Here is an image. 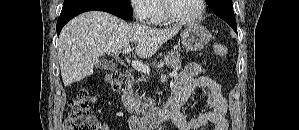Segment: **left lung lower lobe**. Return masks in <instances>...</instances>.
I'll return each instance as SVG.
<instances>
[{"mask_svg": "<svg viewBox=\"0 0 299 130\" xmlns=\"http://www.w3.org/2000/svg\"><path fill=\"white\" fill-rule=\"evenodd\" d=\"M208 6L213 13H215L218 17L226 21L237 33V26L232 7V0H211Z\"/></svg>", "mask_w": 299, "mask_h": 130, "instance_id": "0a47b994", "label": "left lung lower lobe"}]
</instances>
